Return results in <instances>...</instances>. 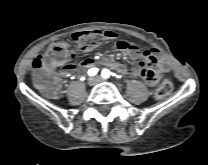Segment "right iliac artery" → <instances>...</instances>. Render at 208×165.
<instances>
[{"label": "right iliac artery", "mask_w": 208, "mask_h": 165, "mask_svg": "<svg viewBox=\"0 0 208 165\" xmlns=\"http://www.w3.org/2000/svg\"><path fill=\"white\" fill-rule=\"evenodd\" d=\"M97 72H98V69H97V68H91V69L88 71V74H89L90 76H94Z\"/></svg>", "instance_id": "82829eb1"}]
</instances>
